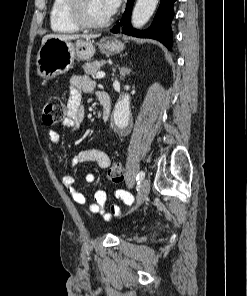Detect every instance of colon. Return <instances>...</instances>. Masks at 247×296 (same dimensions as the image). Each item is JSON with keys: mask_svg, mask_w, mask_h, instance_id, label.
I'll use <instances>...</instances> for the list:
<instances>
[{"mask_svg": "<svg viewBox=\"0 0 247 296\" xmlns=\"http://www.w3.org/2000/svg\"><path fill=\"white\" fill-rule=\"evenodd\" d=\"M66 116V107L58 97H50L42 111V119L46 125H54L62 121ZM110 180L115 184H121L125 179V170L120 162L112 164L108 171Z\"/></svg>", "mask_w": 247, "mask_h": 296, "instance_id": "1", "label": "colon"}]
</instances>
